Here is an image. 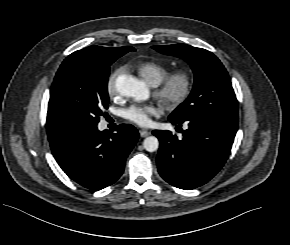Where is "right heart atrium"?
Here are the masks:
<instances>
[{
    "label": "right heart atrium",
    "mask_w": 290,
    "mask_h": 245,
    "mask_svg": "<svg viewBox=\"0 0 290 245\" xmlns=\"http://www.w3.org/2000/svg\"><path fill=\"white\" fill-rule=\"evenodd\" d=\"M121 71H122L121 68L115 70L108 79L106 89H107L108 95L112 98L117 97L119 94L117 85H116V80H117L118 75L121 73Z\"/></svg>",
    "instance_id": "right-heart-atrium-1"
}]
</instances>
